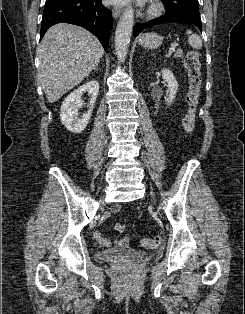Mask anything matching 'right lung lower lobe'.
I'll return each mask as SVG.
<instances>
[{
	"label": "right lung lower lobe",
	"mask_w": 245,
	"mask_h": 314,
	"mask_svg": "<svg viewBox=\"0 0 245 314\" xmlns=\"http://www.w3.org/2000/svg\"><path fill=\"white\" fill-rule=\"evenodd\" d=\"M102 0H46L40 38L54 24L70 23L92 32L108 50L112 30L111 11Z\"/></svg>",
	"instance_id": "obj_1"
}]
</instances>
